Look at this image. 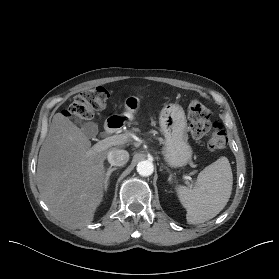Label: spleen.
Returning a JSON list of instances; mask_svg holds the SVG:
<instances>
[{"mask_svg":"<svg viewBox=\"0 0 279 279\" xmlns=\"http://www.w3.org/2000/svg\"><path fill=\"white\" fill-rule=\"evenodd\" d=\"M233 174L229 160L220 157L198 175L195 187L178 186V198L186 209L189 224H200L214 218L231 196Z\"/></svg>","mask_w":279,"mask_h":279,"instance_id":"3e777b00","label":"spleen"}]
</instances>
